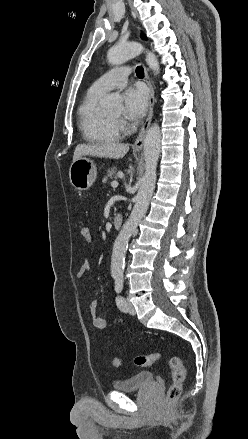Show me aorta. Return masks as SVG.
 <instances>
[{
	"mask_svg": "<svg viewBox=\"0 0 248 439\" xmlns=\"http://www.w3.org/2000/svg\"><path fill=\"white\" fill-rule=\"evenodd\" d=\"M144 51V47L138 42H128L111 47L107 54L111 65H119L134 58ZM146 62L155 74L159 73V63L153 52L146 51ZM119 104V98L110 95L104 99L103 105L107 109H113ZM161 131L158 124L154 123L148 129L144 140L145 173L141 179L140 187L135 196V204L128 220L123 224L113 245L111 258V274L122 276L128 241L138 224L145 216L151 197L155 189L156 167L160 153Z\"/></svg>",
	"mask_w": 248,
	"mask_h": 439,
	"instance_id": "obj_1",
	"label": "aorta"
}]
</instances>
